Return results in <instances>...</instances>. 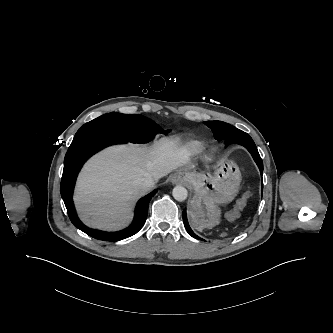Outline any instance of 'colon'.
I'll list each match as a JSON object with an SVG mask.
<instances>
[{
  "label": "colon",
  "mask_w": 333,
  "mask_h": 333,
  "mask_svg": "<svg viewBox=\"0 0 333 333\" xmlns=\"http://www.w3.org/2000/svg\"><path fill=\"white\" fill-rule=\"evenodd\" d=\"M250 197H251V193L246 192L239 198V200L236 203L235 208L230 210L227 214V218L230 221H233L238 217L240 210L243 209L246 206Z\"/></svg>",
  "instance_id": "colon-1"
}]
</instances>
